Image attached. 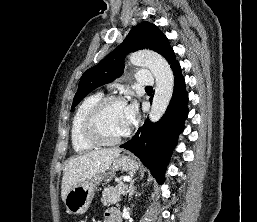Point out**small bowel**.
I'll use <instances>...</instances> for the list:
<instances>
[{"mask_svg":"<svg viewBox=\"0 0 257 222\" xmlns=\"http://www.w3.org/2000/svg\"><path fill=\"white\" fill-rule=\"evenodd\" d=\"M106 222H119L118 212L115 209H109L105 213Z\"/></svg>","mask_w":257,"mask_h":222,"instance_id":"obj_1","label":"small bowel"}]
</instances>
